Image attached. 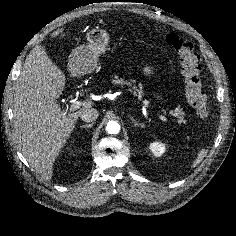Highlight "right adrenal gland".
<instances>
[{
    "label": "right adrenal gland",
    "mask_w": 236,
    "mask_h": 236,
    "mask_svg": "<svg viewBox=\"0 0 236 236\" xmlns=\"http://www.w3.org/2000/svg\"><path fill=\"white\" fill-rule=\"evenodd\" d=\"M93 125H94V122L91 123V124L81 125L80 128H81V129H83V128H91Z\"/></svg>",
    "instance_id": "1"
}]
</instances>
